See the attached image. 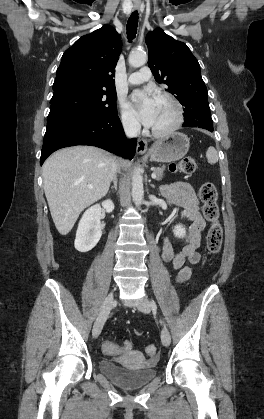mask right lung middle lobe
I'll return each mask as SVG.
<instances>
[{
	"label": "right lung middle lobe",
	"mask_w": 264,
	"mask_h": 419,
	"mask_svg": "<svg viewBox=\"0 0 264 419\" xmlns=\"http://www.w3.org/2000/svg\"><path fill=\"white\" fill-rule=\"evenodd\" d=\"M116 114V90L69 85L54 90L47 128L69 116H108Z\"/></svg>",
	"instance_id": "right-lung-middle-lobe-1"
}]
</instances>
